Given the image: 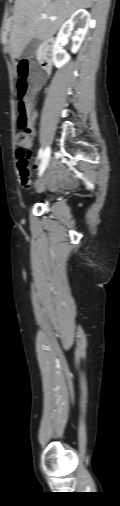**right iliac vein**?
I'll return each mask as SVG.
<instances>
[{"label": "right iliac vein", "instance_id": "1", "mask_svg": "<svg viewBox=\"0 0 120 506\" xmlns=\"http://www.w3.org/2000/svg\"><path fill=\"white\" fill-rule=\"evenodd\" d=\"M50 154H51V150H50V148H49V147H47V148L45 149V153H44V156H43V158H42V163H43L46 159H48V163L50 162ZM42 163H41V166H42ZM47 166H48V165H47ZM45 169H46V168H45Z\"/></svg>", "mask_w": 120, "mask_h": 506}]
</instances>
